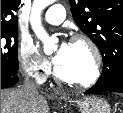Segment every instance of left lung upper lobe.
Returning <instances> with one entry per match:
<instances>
[{
  "label": "left lung upper lobe",
  "instance_id": "left-lung-upper-lobe-1",
  "mask_svg": "<svg viewBox=\"0 0 123 113\" xmlns=\"http://www.w3.org/2000/svg\"><path fill=\"white\" fill-rule=\"evenodd\" d=\"M78 27L98 46L104 69L99 81L123 74V0H69Z\"/></svg>",
  "mask_w": 123,
  "mask_h": 113
}]
</instances>
